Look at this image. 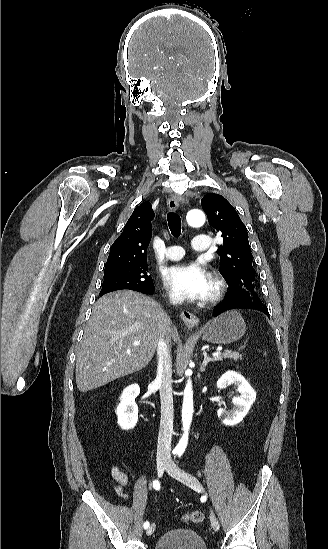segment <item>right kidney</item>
<instances>
[{
    "label": "right kidney",
    "mask_w": 328,
    "mask_h": 549,
    "mask_svg": "<svg viewBox=\"0 0 328 549\" xmlns=\"http://www.w3.org/2000/svg\"><path fill=\"white\" fill-rule=\"evenodd\" d=\"M140 393L139 385H129L124 389L116 415L118 417V425L121 429H134L138 421V407L135 403L136 397Z\"/></svg>",
    "instance_id": "obj_1"
}]
</instances>
